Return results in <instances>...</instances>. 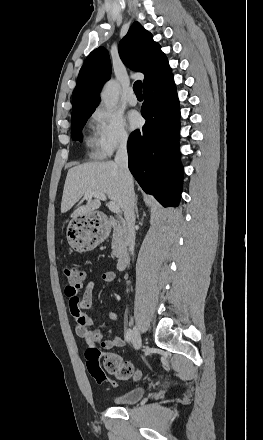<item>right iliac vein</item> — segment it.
I'll return each mask as SVG.
<instances>
[{
  "mask_svg": "<svg viewBox=\"0 0 263 440\" xmlns=\"http://www.w3.org/2000/svg\"><path fill=\"white\" fill-rule=\"evenodd\" d=\"M132 344L135 350L140 349L142 344L141 334L137 327H134L132 331Z\"/></svg>",
  "mask_w": 263,
  "mask_h": 440,
  "instance_id": "right-iliac-vein-1",
  "label": "right iliac vein"
}]
</instances>
